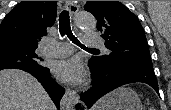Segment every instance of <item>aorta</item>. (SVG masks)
<instances>
[{
	"instance_id": "1",
	"label": "aorta",
	"mask_w": 171,
	"mask_h": 110,
	"mask_svg": "<svg viewBox=\"0 0 171 110\" xmlns=\"http://www.w3.org/2000/svg\"><path fill=\"white\" fill-rule=\"evenodd\" d=\"M75 23L83 31H92L96 28L97 21L92 14L82 12L76 16Z\"/></svg>"
}]
</instances>
